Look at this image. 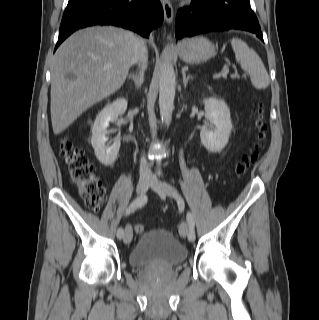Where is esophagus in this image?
<instances>
[{
  "label": "esophagus",
  "mask_w": 319,
  "mask_h": 320,
  "mask_svg": "<svg viewBox=\"0 0 319 320\" xmlns=\"http://www.w3.org/2000/svg\"><path fill=\"white\" fill-rule=\"evenodd\" d=\"M162 6L164 10V17L168 24L173 22L174 10L171 2L169 0H162ZM170 39V36L168 37Z\"/></svg>",
  "instance_id": "obj_1"
}]
</instances>
